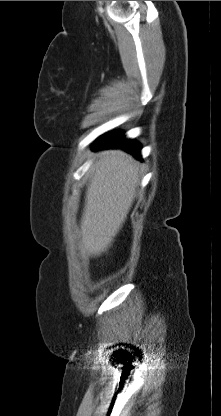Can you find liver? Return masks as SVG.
Here are the masks:
<instances>
[{
	"instance_id": "liver-1",
	"label": "liver",
	"mask_w": 221,
	"mask_h": 416,
	"mask_svg": "<svg viewBox=\"0 0 221 416\" xmlns=\"http://www.w3.org/2000/svg\"><path fill=\"white\" fill-rule=\"evenodd\" d=\"M80 222L81 251L98 256L111 245L132 206L139 184L136 160L121 150L99 153Z\"/></svg>"
}]
</instances>
